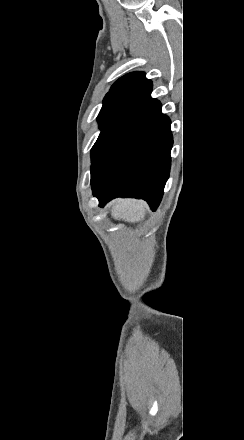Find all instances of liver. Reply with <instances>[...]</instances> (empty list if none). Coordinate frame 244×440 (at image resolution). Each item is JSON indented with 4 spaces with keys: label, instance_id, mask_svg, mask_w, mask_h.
I'll return each mask as SVG.
<instances>
[{
    "label": "liver",
    "instance_id": "obj_1",
    "mask_svg": "<svg viewBox=\"0 0 244 440\" xmlns=\"http://www.w3.org/2000/svg\"><path fill=\"white\" fill-rule=\"evenodd\" d=\"M110 212L113 220L137 224V222H142L146 216L145 202L142 200H114Z\"/></svg>",
    "mask_w": 244,
    "mask_h": 440
}]
</instances>
